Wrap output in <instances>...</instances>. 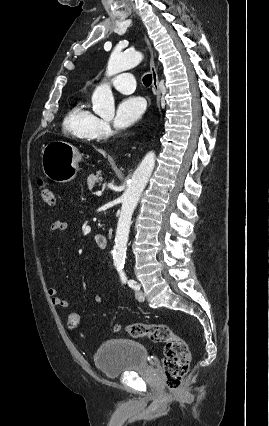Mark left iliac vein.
I'll return each instance as SVG.
<instances>
[{"label": "left iliac vein", "instance_id": "obj_1", "mask_svg": "<svg viewBox=\"0 0 269 426\" xmlns=\"http://www.w3.org/2000/svg\"><path fill=\"white\" fill-rule=\"evenodd\" d=\"M136 298L138 301H144L145 296L144 293L142 291L136 290Z\"/></svg>", "mask_w": 269, "mask_h": 426}]
</instances>
